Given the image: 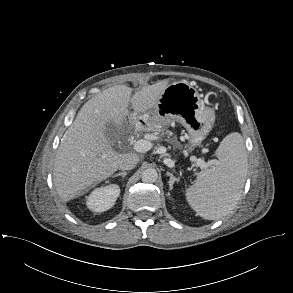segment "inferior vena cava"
Masks as SVG:
<instances>
[{"mask_svg": "<svg viewBox=\"0 0 293 293\" xmlns=\"http://www.w3.org/2000/svg\"><path fill=\"white\" fill-rule=\"evenodd\" d=\"M136 161L129 155L125 157L123 162L120 164L119 169L120 170H131L136 166Z\"/></svg>", "mask_w": 293, "mask_h": 293, "instance_id": "602c4592", "label": "inferior vena cava"}]
</instances>
